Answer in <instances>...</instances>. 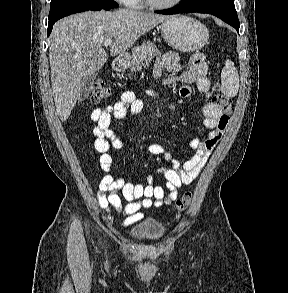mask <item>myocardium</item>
<instances>
[{"label":"myocardium","instance_id":"1","mask_svg":"<svg viewBox=\"0 0 288 293\" xmlns=\"http://www.w3.org/2000/svg\"><path fill=\"white\" fill-rule=\"evenodd\" d=\"M144 1L150 7H153L156 9H169L178 5L181 0H171L170 2H167V3H159V2H156L155 0H144Z\"/></svg>","mask_w":288,"mask_h":293}]
</instances>
